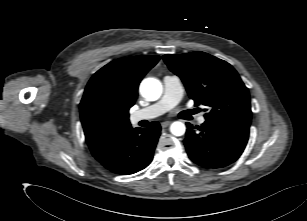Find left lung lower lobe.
Segmentation results:
<instances>
[{
	"label": "left lung lower lobe",
	"mask_w": 307,
	"mask_h": 221,
	"mask_svg": "<svg viewBox=\"0 0 307 221\" xmlns=\"http://www.w3.org/2000/svg\"><path fill=\"white\" fill-rule=\"evenodd\" d=\"M184 140L189 158L205 168H222L235 162L245 149L250 125L229 120H206L194 128L186 123Z\"/></svg>",
	"instance_id": "0a47b994"
}]
</instances>
